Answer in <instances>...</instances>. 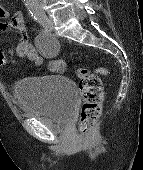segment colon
Returning <instances> with one entry per match:
<instances>
[{
	"instance_id": "5ec220e1",
	"label": "colon",
	"mask_w": 143,
	"mask_h": 170,
	"mask_svg": "<svg viewBox=\"0 0 143 170\" xmlns=\"http://www.w3.org/2000/svg\"><path fill=\"white\" fill-rule=\"evenodd\" d=\"M64 69L65 63L61 61L57 66V71L63 72ZM97 72L108 74L109 70L100 67ZM77 75L80 78L79 90L83 100L79 120V131L82 137H86L89 130L100 117L103 102V86L99 76L87 68L78 69Z\"/></svg>"
}]
</instances>
